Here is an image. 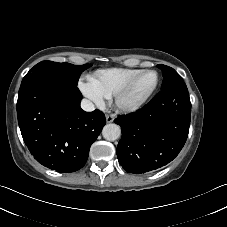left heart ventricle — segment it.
Returning a JSON list of instances; mask_svg holds the SVG:
<instances>
[{"label":"left heart ventricle","mask_w":227,"mask_h":227,"mask_svg":"<svg viewBox=\"0 0 227 227\" xmlns=\"http://www.w3.org/2000/svg\"><path fill=\"white\" fill-rule=\"evenodd\" d=\"M156 77L153 73H146L141 75L129 93L123 98V104H133L143 98L149 90L153 87Z\"/></svg>","instance_id":"1"}]
</instances>
